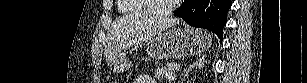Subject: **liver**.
I'll use <instances>...</instances> for the list:
<instances>
[{"instance_id": "6515ba94", "label": "liver", "mask_w": 307, "mask_h": 83, "mask_svg": "<svg viewBox=\"0 0 307 83\" xmlns=\"http://www.w3.org/2000/svg\"><path fill=\"white\" fill-rule=\"evenodd\" d=\"M178 23L179 20L176 18L157 16L147 12L125 16L111 28L104 55L108 59L122 49L147 41Z\"/></svg>"}]
</instances>
